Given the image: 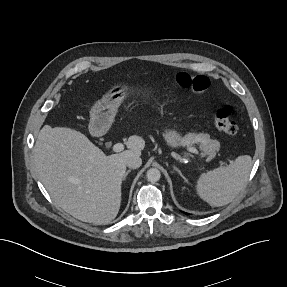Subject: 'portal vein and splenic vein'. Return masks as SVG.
<instances>
[{
	"label": "portal vein and splenic vein",
	"mask_w": 287,
	"mask_h": 287,
	"mask_svg": "<svg viewBox=\"0 0 287 287\" xmlns=\"http://www.w3.org/2000/svg\"><path fill=\"white\" fill-rule=\"evenodd\" d=\"M112 149L114 152H121L124 150V145L122 143H117V144L113 145ZM187 151H189L191 153L199 154V151L192 146H188Z\"/></svg>",
	"instance_id": "obj_1"
}]
</instances>
